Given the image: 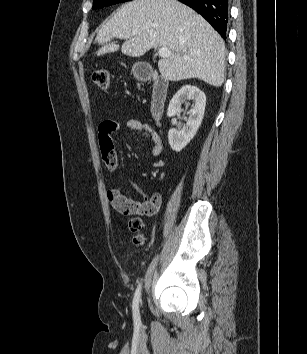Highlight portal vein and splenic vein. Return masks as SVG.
Segmentation results:
<instances>
[{
    "mask_svg": "<svg viewBox=\"0 0 307 354\" xmlns=\"http://www.w3.org/2000/svg\"><path fill=\"white\" fill-rule=\"evenodd\" d=\"M158 55H159V57L165 58V57L170 56L171 52H170V50L167 47H161L158 50Z\"/></svg>",
    "mask_w": 307,
    "mask_h": 354,
    "instance_id": "obj_1",
    "label": "portal vein and splenic vein"
}]
</instances>
